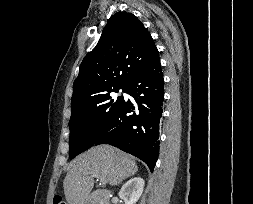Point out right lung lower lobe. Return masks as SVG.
I'll use <instances>...</instances> for the list:
<instances>
[{
	"label": "right lung lower lobe",
	"mask_w": 253,
	"mask_h": 204,
	"mask_svg": "<svg viewBox=\"0 0 253 204\" xmlns=\"http://www.w3.org/2000/svg\"><path fill=\"white\" fill-rule=\"evenodd\" d=\"M164 80L156 49L124 87L135 100L124 101L94 145L108 143L143 160L153 171L159 154V121ZM131 113V115H127Z\"/></svg>",
	"instance_id": "right-lung-lower-lobe-1"
}]
</instances>
